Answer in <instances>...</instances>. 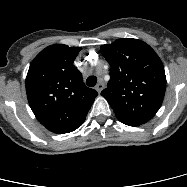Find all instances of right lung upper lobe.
<instances>
[{
	"label": "right lung upper lobe",
	"mask_w": 187,
	"mask_h": 187,
	"mask_svg": "<svg viewBox=\"0 0 187 187\" xmlns=\"http://www.w3.org/2000/svg\"><path fill=\"white\" fill-rule=\"evenodd\" d=\"M80 47L55 44L32 61L26 77L29 105L49 131L69 133L79 128L97 92L85 86L73 62Z\"/></svg>",
	"instance_id": "obj_1"
}]
</instances>
